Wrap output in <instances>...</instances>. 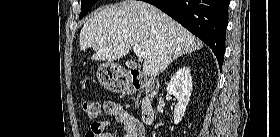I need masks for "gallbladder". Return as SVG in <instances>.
I'll list each match as a JSON object with an SVG mask.
<instances>
[{
  "label": "gallbladder",
  "mask_w": 280,
  "mask_h": 137,
  "mask_svg": "<svg viewBox=\"0 0 280 137\" xmlns=\"http://www.w3.org/2000/svg\"><path fill=\"white\" fill-rule=\"evenodd\" d=\"M126 66L129 68V69H136V68H139V65L133 61H127L126 62Z\"/></svg>",
  "instance_id": "bac80fb5"
}]
</instances>
